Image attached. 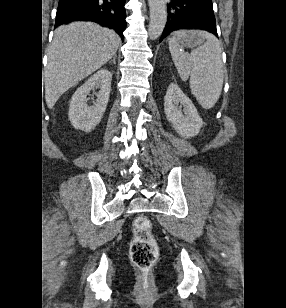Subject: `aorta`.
<instances>
[{"instance_id": "1", "label": "aorta", "mask_w": 286, "mask_h": 308, "mask_svg": "<svg viewBox=\"0 0 286 308\" xmlns=\"http://www.w3.org/2000/svg\"><path fill=\"white\" fill-rule=\"evenodd\" d=\"M150 22L148 34L151 40L159 38L167 22V7L165 0H148Z\"/></svg>"}]
</instances>
